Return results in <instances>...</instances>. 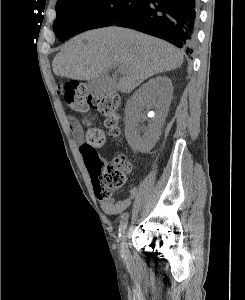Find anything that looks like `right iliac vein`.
<instances>
[{
  "mask_svg": "<svg viewBox=\"0 0 245 300\" xmlns=\"http://www.w3.org/2000/svg\"><path fill=\"white\" fill-rule=\"evenodd\" d=\"M127 236H128V233L125 232V233L123 234V247H122L124 256H127V255H128V251H127V243H126Z\"/></svg>",
  "mask_w": 245,
  "mask_h": 300,
  "instance_id": "1",
  "label": "right iliac vein"
}]
</instances>
